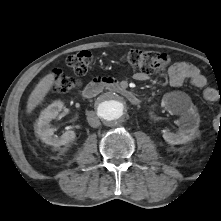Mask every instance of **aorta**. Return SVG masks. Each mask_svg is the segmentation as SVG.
Listing matches in <instances>:
<instances>
[{"instance_id": "762f6f07", "label": "aorta", "mask_w": 221, "mask_h": 221, "mask_svg": "<svg viewBox=\"0 0 221 221\" xmlns=\"http://www.w3.org/2000/svg\"><path fill=\"white\" fill-rule=\"evenodd\" d=\"M127 113V102L116 94L108 93L102 96L97 103V114L107 124L121 122Z\"/></svg>"}]
</instances>
